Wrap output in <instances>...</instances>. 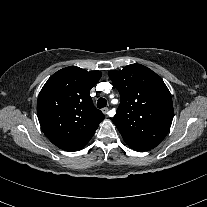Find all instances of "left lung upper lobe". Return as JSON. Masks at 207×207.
<instances>
[{"label":"left lung upper lobe","mask_w":207,"mask_h":207,"mask_svg":"<svg viewBox=\"0 0 207 207\" xmlns=\"http://www.w3.org/2000/svg\"><path fill=\"white\" fill-rule=\"evenodd\" d=\"M108 75L120 93L121 102L113 122L124 141L136 147L155 148L173 120L167 86L155 72L140 64L110 71Z\"/></svg>","instance_id":"1"}]
</instances>
